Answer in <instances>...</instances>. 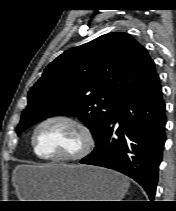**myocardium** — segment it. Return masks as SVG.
Listing matches in <instances>:
<instances>
[{
	"instance_id": "obj_1",
	"label": "myocardium",
	"mask_w": 176,
	"mask_h": 211,
	"mask_svg": "<svg viewBox=\"0 0 176 211\" xmlns=\"http://www.w3.org/2000/svg\"><path fill=\"white\" fill-rule=\"evenodd\" d=\"M51 122H65L74 126L79 130L82 136V145L78 152L68 156H42L41 154H39L36 146V136L39 130L44 125ZM31 146L33 148L35 155L41 160L53 161V162H74L83 159L84 157H86L88 154L91 153V151L95 147V137L91 129L81 120L68 115H54L45 118L44 120L39 122L37 126L34 128L31 136Z\"/></svg>"
}]
</instances>
